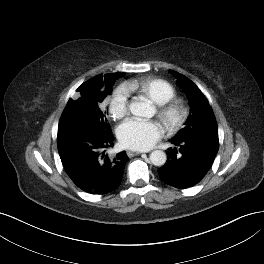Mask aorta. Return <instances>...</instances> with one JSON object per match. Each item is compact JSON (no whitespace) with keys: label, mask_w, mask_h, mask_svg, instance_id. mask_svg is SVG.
Returning a JSON list of instances; mask_svg holds the SVG:
<instances>
[{"label":"aorta","mask_w":264,"mask_h":264,"mask_svg":"<svg viewBox=\"0 0 264 264\" xmlns=\"http://www.w3.org/2000/svg\"><path fill=\"white\" fill-rule=\"evenodd\" d=\"M130 112L139 117H151L153 115V108L145 102L134 101L129 105ZM167 156L161 150H155L150 154V161L155 166H162L166 163Z\"/></svg>","instance_id":"762f6f07"}]
</instances>
